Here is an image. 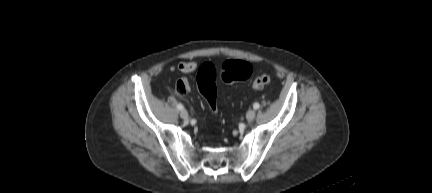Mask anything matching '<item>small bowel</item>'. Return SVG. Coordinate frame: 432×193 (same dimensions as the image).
I'll return each mask as SVG.
<instances>
[{"label": "small bowel", "instance_id": "c3829d8e", "mask_svg": "<svg viewBox=\"0 0 432 193\" xmlns=\"http://www.w3.org/2000/svg\"><path fill=\"white\" fill-rule=\"evenodd\" d=\"M197 68V63L194 61H182L178 64V70L183 73H191ZM189 87L187 79L183 78L176 84V89L179 93H185ZM179 88L183 89V92L179 91Z\"/></svg>", "mask_w": 432, "mask_h": 193}]
</instances>
